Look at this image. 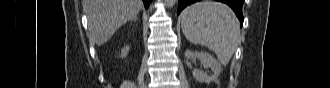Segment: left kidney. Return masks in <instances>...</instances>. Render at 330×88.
Listing matches in <instances>:
<instances>
[{"instance_id":"obj_1","label":"left kidney","mask_w":330,"mask_h":88,"mask_svg":"<svg viewBox=\"0 0 330 88\" xmlns=\"http://www.w3.org/2000/svg\"><path fill=\"white\" fill-rule=\"evenodd\" d=\"M185 58L187 60L199 59L201 64L204 67H209L213 71L214 74L212 76H209L201 70H197V69L193 70V72H192L193 77L198 82H201V83L213 82L218 78L219 74L222 71L221 64L207 52H203V51L202 52H198V51L192 52L190 50H187L185 52Z\"/></svg>"}]
</instances>
